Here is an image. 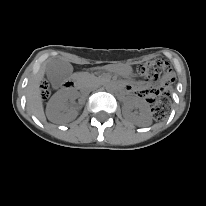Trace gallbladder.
Returning <instances> with one entry per match:
<instances>
[{
	"mask_svg": "<svg viewBox=\"0 0 206 206\" xmlns=\"http://www.w3.org/2000/svg\"><path fill=\"white\" fill-rule=\"evenodd\" d=\"M46 72L50 83L60 87L72 75L73 67L64 60L54 59L46 64Z\"/></svg>",
	"mask_w": 206,
	"mask_h": 206,
	"instance_id": "1",
	"label": "gallbladder"
}]
</instances>
